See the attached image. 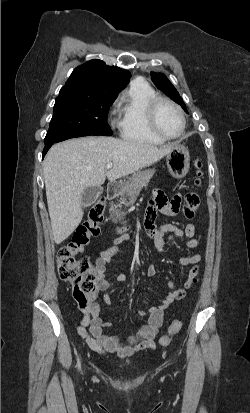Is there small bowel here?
<instances>
[{"label":"small bowel","instance_id":"1","mask_svg":"<svg viewBox=\"0 0 250 413\" xmlns=\"http://www.w3.org/2000/svg\"><path fill=\"white\" fill-rule=\"evenodd\" d=\"M184 196L182 193H175L171 201L168 202L164 192H154L145 216V228L149 238H153L154 246L157 252L164 253L165 240L179 239L183 241L187 249H196L200 246V241L194 238L196 234V225L187 224L183 229L171 223H165L157 227L155 218L157 211L168 216H177L180 213V206L183 203ZM128 236H123L106 245L95 261V269L98 273L97 288L103 291V300L107 305H111L110 294L115 290L117 284L125 281L126 277L119 274L114 281L107 279L105 275L106 263L118 252L119 243L126 240ZM202 260L200 254H193L179 257L176 262L180 266H191L188 279L182 288H176L172 280L168 279L167 287L169 292L157 306H151L146 311L139 312V315L146 317L147 321L138 329V331L127 337L110 335L104 333V329L111 328L112 323L103 321L99 316V306H80L84 314L77 326L78 334L85 340L90 349L98 354L113 353L124 358L133 354L156 348L155 338L163 323L164 310L174 301L183 299L187 290L195 285L198 281L199 263ZM156 266L150 264L147 267V275L153 277L156 275Z\"/></svg>","mask_w":250,"mask_h":413}]
</instances>
